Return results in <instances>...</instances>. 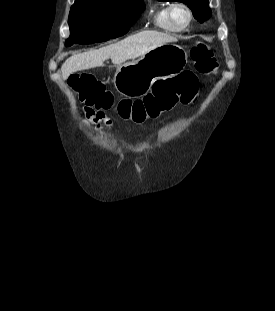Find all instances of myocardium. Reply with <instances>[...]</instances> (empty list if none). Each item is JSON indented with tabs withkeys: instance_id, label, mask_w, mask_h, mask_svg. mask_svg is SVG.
Returning a JSON list of instances; mask_svg holds the SVG:
<instances>
[{
	"instance_id": "f54148a6",
	"label": "myocardium",
	"mask_w": 275,
	"mask_h": 311,
	"mask_svg": "<svg viewBox=\"0 0 275 311\" xmlns=\"http://www.w3.org/2000/svg\"><path fill=\"white\" fill-rule=\"evenodd\" d=\"M176 8H182L186 11L187 13V16H188V19H187V22L185 25L183 26H178L176 25V23L174 22V19H173V11L176 9ZM168 19H169V22L170 24L173 26L174 29H176L177 31H183L185 29H187L190 24L192 23V20H193V12L191 10V8L184 2H181V1H176L172 4H170L169 8H168Z\"/></svg>"
}]
</instances>
